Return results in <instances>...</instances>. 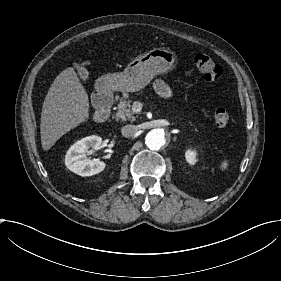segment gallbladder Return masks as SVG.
Here are the masks:
<instances>
[{
    "label": "gallbladder",
    "instance_id": "bac80fb5",
    "mask_svg": "<svg viewBox=\"0 0 281 281\" xmlns=\"http://www.w3.org/2000/svg\"><path fill=\"white\" fill-rule=\"evenodd\" d=\"M73 68L75 71H77V72L79 71L78 73L82 79H87L89 77V72L87 70L83 69L80 64H78V63L75 64Z\"/></svg>",
    "mask_w": 281,
    "mask_h": 281
}]
</instances>
